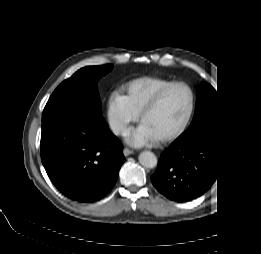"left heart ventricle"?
<instances>
[{
    "label": "left heart ventricle",
    "mask_w": 261,
    "mask_h": 254,
    "mask_svg": "<svg viewBox=\"0 0 261 254\" xmlns=\"http://www.w3.org/2000/svg\"><path fill=\"white\" fill-rule=\"evenodd\" d=\"M188 103L184 88L170 90L160 103L143 119L142 125L155 137L174 130L181 121Z\"/></svg>",
    "instance_id": "obj_1"
}]
</instances>
